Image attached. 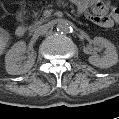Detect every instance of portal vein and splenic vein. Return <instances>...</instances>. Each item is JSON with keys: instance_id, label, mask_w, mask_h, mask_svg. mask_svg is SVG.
Returning <instances> with one entry per match:
<instances>
[{"instance_id": "portal-vein-and-splenic-vein-1", "label": "portal vein and splenic vein", "mask_w": 119, "mask_h": 119, "mask_svg": "<svg viewBox=\"0 0 119 119\" xmlns=\"http://www.w3.org/2000/svg\"><path fill=\"white\" fill-rule=\"evenodd\" d=\"M51 13H52V10H45L44 11V15L47 16V17L50 16Z\"/></svg>"}]
</instances>
